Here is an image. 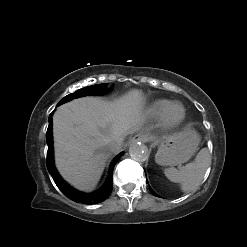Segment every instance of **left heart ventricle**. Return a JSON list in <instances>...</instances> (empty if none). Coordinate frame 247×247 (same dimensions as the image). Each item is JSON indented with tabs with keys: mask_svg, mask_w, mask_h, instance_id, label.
<instances>
[{
	"mask_svg": "<svg viewBox=\"0 0 247 247\" xmlns=\"http://www.w3.org/2000/svg\"><path fill=\"white\" fill-rule=\"evenodd\" d=\"M174 113L177 115V114L179 113V110H178V109H176Z\"/></svg>",
	"mask_w": 247,
	"mask_h": 247,
	"instance_id": "b2bd125f",
	"label": "left heart ventricle"
}]
</instances>
